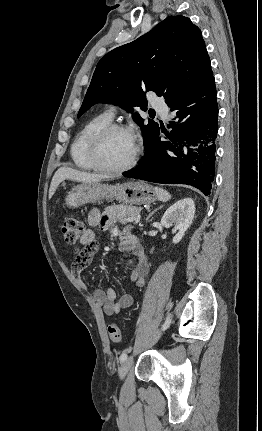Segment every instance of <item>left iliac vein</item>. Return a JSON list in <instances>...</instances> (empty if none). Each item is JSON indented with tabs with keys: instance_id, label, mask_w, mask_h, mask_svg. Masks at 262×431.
<instances>
[{
	"instance_id": "1",
	"label": "left iliac vein",
	"mask_w": 262,
	"mask_h": 431,
	"mask_svg": "<svg viewBox=\"0 0 262 431\" xmlns=\"http://www.w3.org/2000/svg\"><path fill=\"white\" fill-rule=\"evenodd\" d=\"M131 365H132V357H129L122 362L121 368L119 370V375L121 379H123L127 375Z\"/></svg>"
}]
</instances>
